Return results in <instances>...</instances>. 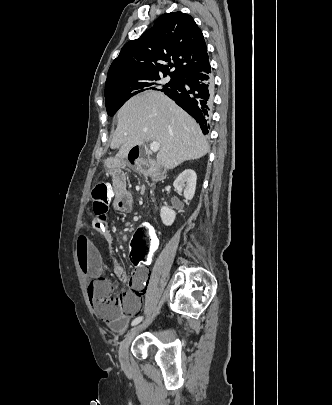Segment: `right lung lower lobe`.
Wrapping results in <instances>:
<instances>
[{"label":"right lung lower lobe","instance_id":"1","mask_svg":"<svg viewBox=\"0 0 332 405\" xmlns=\"http://www.w3.org/2000/svg\"><path fill=\"white\" fill-rule=\"evenodd\" d=\"M213 89V77L207 60L181 75L177 86L164 93L194 117L200 124L203 134H207L213 104Z\"/></svg>","mask_w":332,"mask_h":405}]
</instances>
